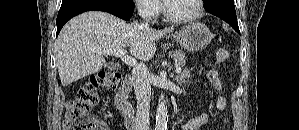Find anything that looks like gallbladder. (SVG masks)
Instances as JSON below:
<instances>
[{"instance_id":"gallbladder-1","label":"gallbladder","mask_w":299,"mask_h":130,"mask_svg":"<svg viewBox=\"0 0 299 130\" xmlns=\"http://www.w3.org/2000/svg\"><path fill=\"white\" fill-rule=\"evenodd\" d=\"M108 68H114L115 67V65L114 64H108V65H106Z\"/></svg>"}]
</instances>
